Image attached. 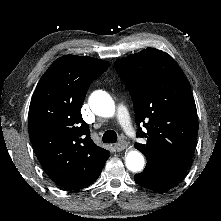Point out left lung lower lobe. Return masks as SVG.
I'll return each instance as SVG.
<instances>
[{"label": "left lung lower lobe", "mask_w": 221, "mask_h": 221, "mask_svg": "<svg viewBox=\"0 0 221 221\" xmlns=\"http://www.w3.org/2000/svg\"><path fill=\"white\" fill-rule=\"evenodd\" d=\"M186 171L174 170L165 167L153 166L144 169L143 172L136 174L134 180L139 185L157 191L163 192L179 184Z\"/></svg>", "instance_id": "left-lung-lower-lobe-1"}]
</instances>
